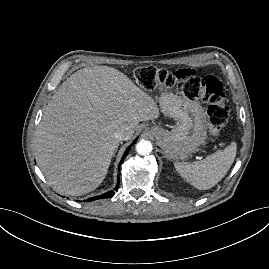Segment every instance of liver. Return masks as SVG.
I'll list each match as a JSON object with an SVG mask.
<instances>
[{
  "mask_svg": "<svg viewBox=\"0 0 269 269\" xmlns=\"http://www.w3.org/2000/svg\"><path fill=\"white\" fill-rule=\"evenodd\" d=\"M156 102L109 66L78 70L62 83L43 111L35 136L37 163L52 188L80 196L104 180L119 141L140 121L157 119Z\"/></svg>",
  "mask_w": 269,
  "mask_h": 269,
  "instance_id": "liver-1",
  "label": "liver"
}]
</instances>
